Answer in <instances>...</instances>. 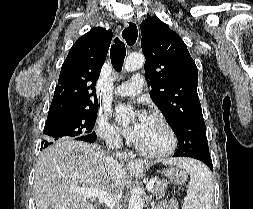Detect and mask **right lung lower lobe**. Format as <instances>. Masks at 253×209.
<instances>
[{"label": "right lung lower lobe", "instance_id": "98d812e1", "mask_svg": "<svg viewBox=\"0 0 253 209\" xmlns=\"http://www.w3.org/2000/svg\"><path fill=\"white\" fill-rule=\"evenodd\" d=\"M78 140H82V141H86V142H90L93 143L96 141V134L93 133L90 135V137H86V138H78Z\"/></svg>", "mask_w": 253, "mask_h": 209}]
</instances>
